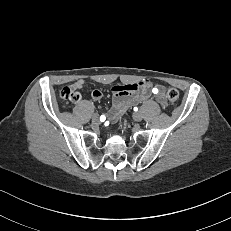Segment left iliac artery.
I'll list each match as a JSON object with an SVG mask.
<instances>
[{"label":"left iliac artery","mask_w":231,"mask_h":231,"mask_svg":"<svg viewBox=\"0 0 231 231\" xmlns=\"http://www.w3.org/2000/svg\"><path fill=\"white\" fill-rule=\"evenodd\" d=\"M152 92H153L154 94H157V93H158V89H157V88H153Z\"/></svg>","instance_id":"obj_1"}]
</instances>
